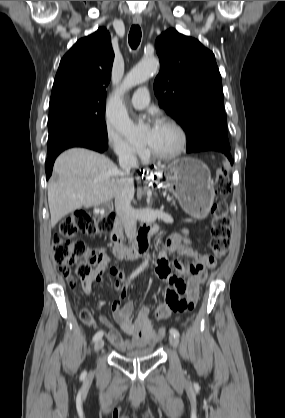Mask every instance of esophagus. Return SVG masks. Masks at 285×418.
I'll return each mask as SVG.
<instances>
[{
  "mask_svg": "<svg viewBox=\"0 0 285 418\" xmlns=\"http://www.w3.org/2000/svg\"><path fill=\"white\" fill-rule=\"evenodd\" d=\"M133 23L136 25H140L142 23V17L140 15H134ZM149 170V169H147Z\"/></svg>",
  "mask_w": 285,
  "mask_h": 418,
  "instance_id": "1",
  "label": "esophagus"
}]
</instances>
